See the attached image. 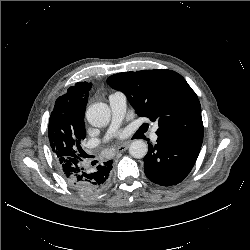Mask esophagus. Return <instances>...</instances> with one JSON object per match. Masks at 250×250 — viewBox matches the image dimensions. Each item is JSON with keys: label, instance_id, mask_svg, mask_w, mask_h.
<instances>
[{"label": "esophagus", "instance_id": "esophagus-1", "mask_svg": "<svg viewBox=\"0 0 250 250\" xmlns=\"http://www.w3.org/2000/svg\"><path fill=\"white\" fill-rule=\"evenodd\" d=\"M128 146H129V143H123V144H121V145H118V146L116 147V150H117L118 152H124V151L127 150Z\"/></svg>", "mask_w": 250, "mask_h": 250}]
</instances>
